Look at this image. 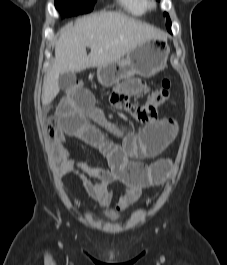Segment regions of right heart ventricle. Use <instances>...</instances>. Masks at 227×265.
Here are the masks:
<instances>
[{"mask_svg":"<svg viewBox=\"0 0 227 265\" xmlns=\"http://www.w3.org/2000/svg\"><path fill=\"white\" fill-rule=\"evenodd\" d=\"M117 2L123 10L134 16H141L147 10L146 0H117Z\"/></svg>","mask_w":227,"mask_h":265,"instance_id":"e07e8e85","label":"right heart ventricle"}]
</instances>
